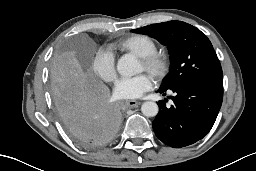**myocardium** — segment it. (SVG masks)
<instances>
[{
  "mask_svg": "<svg viewBox=\"0 0 256 171\" xmlns=\"http://www.w3.org/2000/svg\"><path fill=\"white\" fill-rule=\"evenodd\" d=\"M144 65V70L154 79H162L169 69V60L167 55L162 51H154L148 55L139 57Z\"/></svg>",
  "mask_w": 256,
  "mask_h": 171,
  "instance_id": "myocardium-1",
  "label": "myocardium"
}]
</instances>
